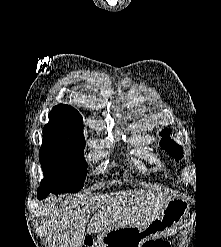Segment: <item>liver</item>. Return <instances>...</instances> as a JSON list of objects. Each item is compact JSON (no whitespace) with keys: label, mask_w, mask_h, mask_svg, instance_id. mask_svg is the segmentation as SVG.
Instances as JSON below:
<instances>
[{"label":"liver","mask_w":221,"mask_h":247,"mask_svg":"<svg viewBox=\"0 0 221 247\" xmlns=\"http://www.w3.org/2000/svg\"><path fill=\"white\" fill-rule=\"evenodd\" d=\"M172 198L168 193L155 190L118 191L65 199L50 196L44 200L41 213L53 234V247H81L86 226L88 233H101L146 225ZM95 208H98L96 212Z\"/></svg>","instance_id":"6515ba94"}]
</instances>
